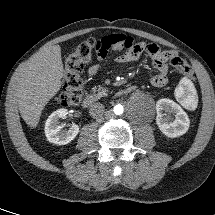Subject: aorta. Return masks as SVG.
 Wrapping results in <instances>:
<instances>
[{"mask_svg":"<svg viewBox=\"0 0 215 215\" xmlns=\"http://www.w3.org/2000/svg\"><path fill=\"white\" fill-rule=\"evenodd\" d=\"M123 112H124V108H123L122 105H116V106L114 107V113H115L116 115H122Z\"/></svg>","mask_w":215,"mask_h":215,"instance_id":"1","label":"aorta"}]
</instances>
